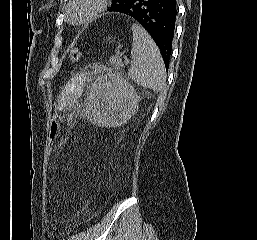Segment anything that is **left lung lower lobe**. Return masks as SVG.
I'll use <instances>...</instances> for the list:
<instances>
[{
  "label": "left lung lower lobe",
  "instance_id": "1",
  "mask_svg": "<svg viewBox=\"0 0 257 240\" xmlns=\"http://www.w3.org/2000/svg\"><path fill=\"white\" fill-rule=\"evenodd\" d=\"M110 12L128 15L140 23L159 47L168 70L176 20V0H123Z\"/></svg>",
  "mask_w": 257,
  "mask_h": 240
}]
</instances>
